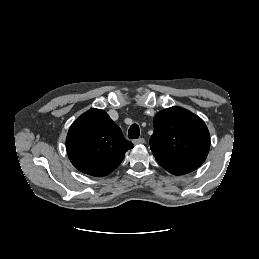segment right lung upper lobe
<instances>
[{"label":"right lung upper lobe","instance_id":"right-lung-upper-lobe-1","mask_svg":"<svg viewBox=\"0 0 259 259\" xmlns=\"http://www.w3.org/2000/svg\"><path fill=\"white\" fill-rule=\"evenodd\" d=\"M133 144L103 110L91 109L71 125L66 149L71 163L81 172L102 177L122 162Z\"/></svg>","mask_w":259,"mask_h":259}]
</instances>
